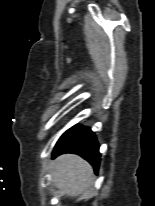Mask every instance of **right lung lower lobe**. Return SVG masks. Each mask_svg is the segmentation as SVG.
Wrapping results in <instances>:
<instances>
[{"mask_svg":"<svg viewBox=\"0 0 155 206\" xmlns=\"http://www.w3.org/2000/svg\"><path fill=\"white\" fill-rule=\"evenodd\" d=\"M64 153H74L86 159L96 173L100 163L99 145L90 128L74 126L67 130L58 140L53 157Z\"/></svg>","mask_w":155,"mask_h":206,"instance_id":"1","label":"right lung lower lobe"}]
</instances>
